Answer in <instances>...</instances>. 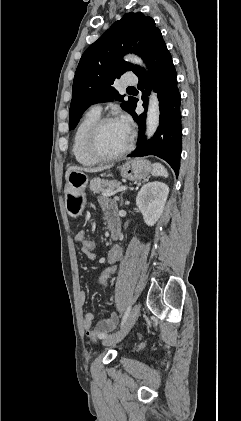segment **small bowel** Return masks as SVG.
Listing matches in <instances>:
<instances>
[{"label": "small bowel", "instance_id": "1", "mask_svg": "<svg viewBox=\"0 0 241 421\" xmlns=\"http://www.w3.org/2000/svg\"><path fill=\"white\" fill-rule=\"evenodd\" d=\"M103 208H104V213L107 219L112 215H116V206L114 203L104 202ZM85 239H86V233L83 230L77 232V234L74 237L75 242L79 244H82L85 241ZM84 253L87 255L89 259L95 260V255L93 254V252H84ZM122 254H123V248L120 245H114L109 250L106 257V261L109 264H116L120 261ZM85 298H86L85 291L80 290L79 299L82 303L85 301ZM94 317L95 316L93 312H90V311L87 312L84 316L83 326H84L87 337L93 341H96L100 339L101 336L105 335L106 332L112 330L115 327L118 317L116 314H113L111 318L104 319L98 322V324L95 327L93 326Z\"/></svg>", "mask_w": 241, "mask_h": 421}]
</instances>
